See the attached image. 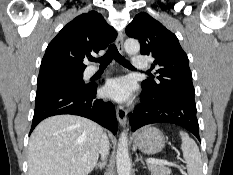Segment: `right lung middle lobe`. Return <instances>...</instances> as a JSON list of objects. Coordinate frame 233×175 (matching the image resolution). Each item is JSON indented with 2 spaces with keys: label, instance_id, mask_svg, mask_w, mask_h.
Segmentation results:
<instances>
[{
  "label": "right lung middle lobe",
  "instance_id": "right-lung-middle-lobe-1",
  "mask_svg": "<svg viewBox=\"0 0 233 175\" xmlns=\"http://www.w3.org/2000/svg\"><path fill=\"white\" fill-rule=\"evenodd\" d=\"M83 73L54 75L37 80V93L50 88L59 87H83Z\"/></svg>",
  "mask_w": 233,
  "mask_h": 175
}]
</instances>
